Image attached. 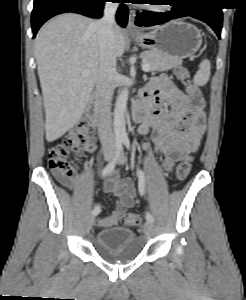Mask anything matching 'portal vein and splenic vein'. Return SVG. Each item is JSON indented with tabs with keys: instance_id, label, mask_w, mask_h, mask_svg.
<instances>
[{
	"instance_id": "portal-vein-and-splenic-vein-1",
	"label": "portal vein and splenic vein",
	"mask_w": 246,
	"mask_h": 300,
	"mask_svg": "<svg viewBox=\"0 0 246 300\" xmlns=\"http://www.w3.org/2000/svg\"><path fill=\"white\" fill-rule=\"evenodd\" d=\"M142 70L144 71V72H148L149 70H150V66H149V64H143L142 65ZM82 75L83 76H86V75H88V72L87 71H84L83 73H82Z\"/></svg>"
}]
</instances>
